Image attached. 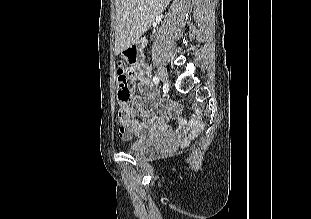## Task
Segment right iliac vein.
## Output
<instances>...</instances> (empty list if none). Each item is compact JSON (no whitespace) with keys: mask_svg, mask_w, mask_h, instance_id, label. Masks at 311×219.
Wrapping results in <instances>:
<instances>
[{"mask_svg":"<svg viewBox=\"0 0 311 219\" xmlns=\"http://www.w3.org/2000/svg\"><path fill=\"white\" fill-rule=\"evenodd\" d=\"M158 75H159V78L161 79L162 82L165 83L168 81V74H167V71L165 70L164 67L159 66Z\"/></svg>","mask_w":311,"mask_h":219,"instance_id":"63e3f726","label":"right iliac vein"}]
</instances>
